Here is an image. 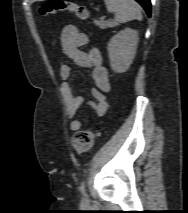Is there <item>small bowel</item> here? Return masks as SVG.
<instances>
[{
  "instance_id": "c3829d8e",
  "label": "small bowel",
  "mask_w": 188,
  "mask_h": 213,
  "mask_svg": "<svg viewBox=\"0 0 188 213\" xmlns=\"http://www.w3.org/2000/svg\"><path fill=\"white\" fill-rule=\"evenodd\" d=\"M89 43L88 35L80 31L73 25H67L61 32V47L63 52L71 58L77 65L91 70L94 80L92 95L94 101L91 103L97 117H102L108 110L107 93L110 91V77L107 69L102 64L101 52L94 48L90 51L83 50ZM72 76V67L62 64L60 67V77L64 81L62 93L66 105L67 118L70 120V129L78 131L85 124L90 122L89 118L82 120L73 119L78 109L84 103L82 96L74 93L67 83Z\"/></svg>"
}]
</instances>
